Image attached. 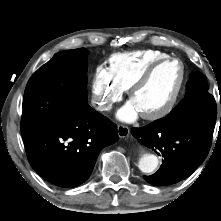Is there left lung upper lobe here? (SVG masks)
I'll return each instance as SVG.
<instances>
[{"label":"left lung upper lobe","mask_w":221,"mask_h":221,"mask_svg":"<svg viewBox=\"0 0 221 221\" xmlns=\"http://www.w3.org/2000/svg\"><path fill=\"white\" fill-rule=\"evenodd\" d=\"M208 89L206 77L200 72H194L187 82V91L183 101L157 122L162 126L190 123L215 126L216 102L208 93Z\"/></svg>","instance_id":"1"}]
</instances>
